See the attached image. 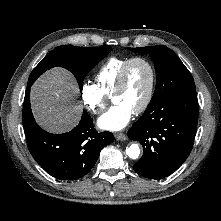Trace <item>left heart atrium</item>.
<instances>
[{
  "label": "left heart atrium",
  "instance_id": "1",
  "mask_svg": "<svg viewBox=\"0 0 221 221\" xmlns=\"http://www.w3.org/2000/svg\"><path fill=\"white\" fill-rule=\"evenodd\" d=\"M133 112L123 104H115L98 120V126L104 130L118 131L131 120Z\"/></svg>",
  "mask_w": 221,
  "mask_h": 221
}]
</instances>
